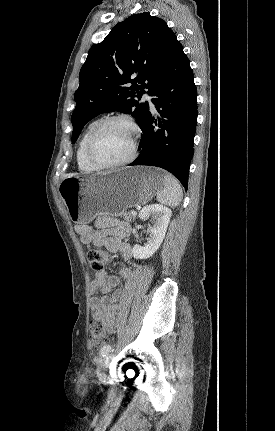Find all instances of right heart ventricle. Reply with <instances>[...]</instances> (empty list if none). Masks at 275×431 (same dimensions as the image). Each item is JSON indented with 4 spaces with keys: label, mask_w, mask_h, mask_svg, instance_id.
<instances>
[{
    "label": "right heart ventricle",
    "mask_w": 275,
    "mask_h": 431,
    "mask_svg": "<svg viewBox=\"0 0 275 431\" xmlns=\"http://www.w3.org/2000/svg\"><path fill=\"white\" fill-rule=\"evenodd\" d=\"M97 123H98V120H94L86 126V128L84 129L81 135V138L79 140L78 147H77L76 157H77L78 168L85 173H90L96 170L93 166H91L87 162L84 148H85V142L89 133Z\"/></svg>",
    "instance_id": "obj_1"
}]
</instances>
